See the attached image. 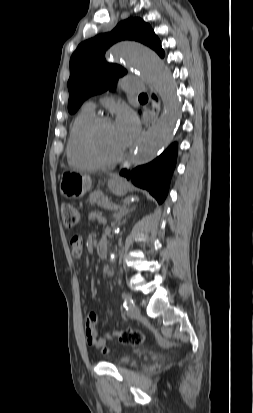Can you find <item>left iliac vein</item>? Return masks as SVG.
I'll return each instance as SVG.
<instances>
[{
  "label": "left iliac vein",
  "mask_w": 253,
  "mask_h": 413,
  "mask_svg": "<svg viewBox=\"0 0 253 413\" xmlns=\"http://www.w3.org/2000/svg\"><path fill=\"white\" fill-rule=\"evenodd\" d=\"M128 315L131 318H137L140 316V309L138 306H136L135 304L132 305V307L130 308Z\"/></svg>",
  "instance_id": "obj_1"
}]
</instances>
